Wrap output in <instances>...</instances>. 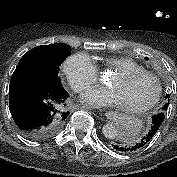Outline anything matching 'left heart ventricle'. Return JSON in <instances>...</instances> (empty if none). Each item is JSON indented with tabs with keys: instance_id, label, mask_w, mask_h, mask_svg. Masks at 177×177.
<instances>
[{
	"instance_id": "b2bd125f",
	"label": "left heart ventricle",
	"mask_w": 177,
	"mask_h": 177,
	"mask_svg": "<svg viewBox=\"0 0 177 177\" xmlns=\"http://www.w3.org/2000/svg\"><path fill=\"white\" fill-rule=\"evenodd\" d=\"M108 86L116 91L121 105L127 106L143 103L154 92V83L144 77L123 79L114 75L109 79Z\"/></svg>"
}]
</instances>
